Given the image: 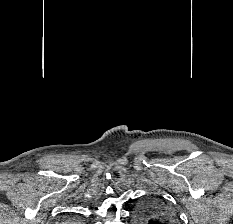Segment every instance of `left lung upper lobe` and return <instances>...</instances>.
<instances>
[{
    "instance_id": "5c2ea615",
    "label": "left lung upper lobe",
    "mask_w": 233,
    "mask_h": 224,
    "mask_svg": "<svg viewBox=\"0 0 233 224\" xmlns=\"http://www.w3.org/2000/svg\"><path fill=\"white\" fill-rule=\"evenodd\" d=\"M137 212L147 224H177L178 220L172 208L155 196L144 199Z\"/></svg>"
}]
</instances>
